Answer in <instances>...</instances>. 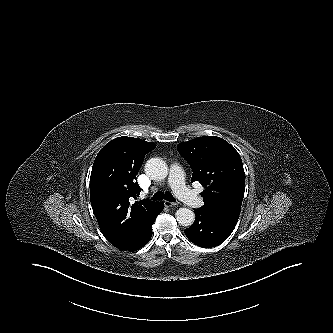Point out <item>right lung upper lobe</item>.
<instances>
[{
	"label": "right lung upper lobe",
	"instance_id": "right-lung-upper-lobe-1",
	"mask_svg": "<svg viewBox=\"0 0 333 333\" xmlns=\"http://www.w3.org/2000/svg\"><path fill=\"white\" fill-rule=\"evenodd\" d=\"M153 142L122 136L98 153L90 177V200L104 237L116 248L128 250L157 217L161 202L139 197L136 175Z\"/></svg>",
	"mask_w": 333,
	"mask_h": 333
}]
</instances>
